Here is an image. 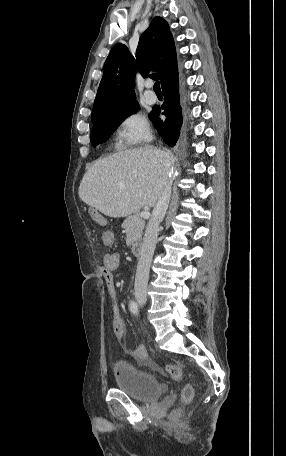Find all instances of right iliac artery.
I'll list each match as a JSON object with an SVG mask.
<instances>
[{
	"instance_id": "82829eb1",
	"label": "right iliac artery",
	"mask_w": 286,
	"mask_h": 456,
	"mask_svg": "<svg viewBox=\"0 0 286 456\" xmlns=\"http://www.w3.org/2000/svg\"><path fill=\"white\" fill-rule=\"evenodd\" d=\"M129 309L134 315H138L139 307H138V304L135 301H131L130 302Z\"/></svg>"
}]
</instances>
